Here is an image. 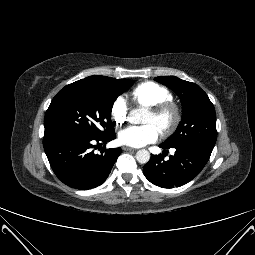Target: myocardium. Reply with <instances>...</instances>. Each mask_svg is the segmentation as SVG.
I'll list each match as a JSON object with an SVG mask.
<instances>
[{
  "label": "myocardium",
  "instance_id": "1",
  "mask_svg": "<svg viewBox=\"0 0 255 255\" xmlns=\"http://www.w3.org/2000/svg\"><path fill=\"white\" fill-rule=\"evenodd\" d=\"M149 110L152 111L157 117L166 118L165 123L160 129L163 135L173 133L178 127L182 118L181 108L173 100H166L151 105L149 106Z\"/></svg>",
  "mask_w": 255,
  "mask_h": 255
}]
</instances>
